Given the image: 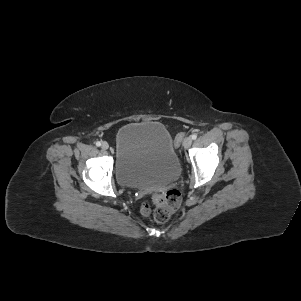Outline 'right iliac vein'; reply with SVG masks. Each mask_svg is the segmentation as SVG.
<instances>
[{
	"label": "right iliac vein",
	"instance_id": "right-iliac-vein-1",
	"mask_svg": "<svg viewBox=\"0 0 301 301\" xmlns=\"http://www.w3.org/2000/svg\"><path fill=\"white\" fill-rule=\"evenodd\" d=\"M101 148H102L103 150H107V149L109 148V144H108L106 141H104V142H102V144H101Z\"/></svg>",
	"mask_w": 301,
	"mask_h": 301
}]
</instances>
